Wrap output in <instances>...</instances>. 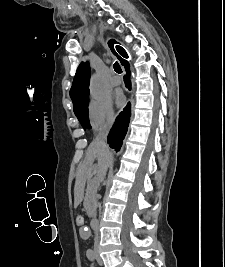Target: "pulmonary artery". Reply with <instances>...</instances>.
I'll return each instance as SVG.
<instances>
[{"instance_id": "obj_1", "label": "pulmonary artery", "mask_w": 225, "mask_h": 267, "mask_svg": "<svg viewBox=\"0 0 225 267\" xmlns=\"http://www.w3.org/2000/svg\"><path fill=\"white\" fill-rule=\"evenodd\" d=\"M111 81H112V84L115 85V86H118V85H120V84L122 83V79H121V77L118 76V75H116V74H114V75L112 76Z\"/></svg>"}]
</instances>
